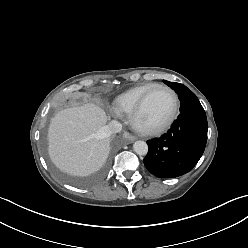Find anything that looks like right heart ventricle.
<instances>
[{
    "label": "right heart ventricle",
    "instance_id": "1",
    "mask_svg": "<svg viewBox=\"0 0 248 248\" xmlns=\"http://www.w3.org/2000/svg\"><path fill=\"white\" fill-rule=\"evenodd\" d=\"M156 83H144L128 89L114 101V110L120 115L129 116L141 96Z\"/></svg>",
    "mask_w": 248,
    "mask_h": 248
}]
</instances>
